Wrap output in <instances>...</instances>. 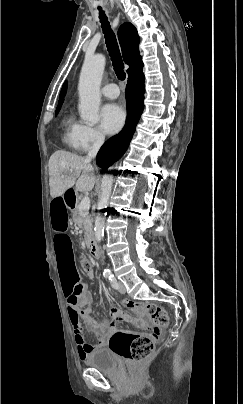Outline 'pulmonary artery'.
<instances>
[{
  "label": "pulmonary artery",
  "instance_id": "pulmonary-artery-1",
  "mask_svg": "<svg viewBox=\"0 0 243 404\" xmlns=\"http://www.w3.org/2000/svg\"><path fill=\"white\" fill-rule=\"evenodd\" d=\"M102 94L108 98H116L119 96L120 90L116 84H107L102 88Z\"/></svg>",
  "mask_w": 243,
  "mask_h": 404
}]
</instances>
